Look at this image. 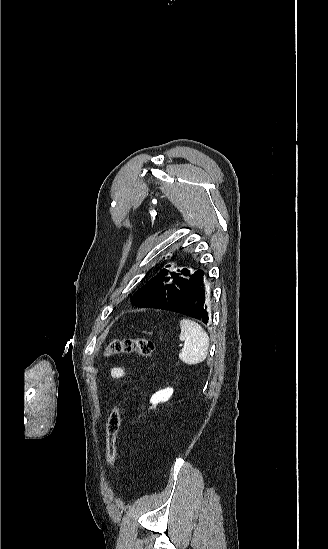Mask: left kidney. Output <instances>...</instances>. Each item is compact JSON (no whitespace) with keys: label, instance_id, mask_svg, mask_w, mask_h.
<instances>
[{"label":"left kidney","instance_id":"left-kidney-1","mask_svg":"<svg viewBox=\"0 0 328 549\" xmlns=\"http://www.w3.org/2000/svg\"><path fill=\"white\" fill-rule=\"evenodd\" d=\"M173 395V389H162V391H158V393H155V395H152L150 399V403H153L154 407H156L157 403H165V401H169L170 397Z\"/></svg>","mask_w":328,"mask_h":549}]
</instances>
